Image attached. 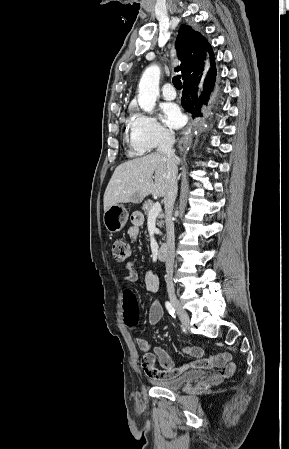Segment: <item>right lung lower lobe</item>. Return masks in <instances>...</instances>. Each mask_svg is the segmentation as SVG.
Returning a JSON list of instances; mask_svg holds the SVG:
<instances>
[{"instance_id": "98d812e1", "label": "right lung lower lobe", "mask_w": 289, "mask_h": 449, "mask_svg": "<svg viewBox=\"0 0 289 449\" xmlns=\"http://www.w3.org/2000/svg\"><path fill=\"white\" fill-rule=\"evenodd\" d=\"M216 77L215 64L202 78L184 82V90L181 98L182 106L192 114L193 118L202 116L200 109L208 100L213 90Z\"/></svg>"}]
</instances>
